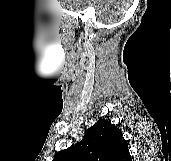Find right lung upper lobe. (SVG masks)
I'll return each instance as SVG.
<instances>
[{"mask_svg": "<svg viewBox=\"0 0 171 161\" xmlns=\"http://www.w3.org/2000/svg\"><path fill=\"white\" fill-rule=\"evenodd\" d=\"M53 161H131L120 129L100 119L86 130L83 140L58 152Z\"/></svg>", "mask_w": 171, "mask_h": 161, "instance_id": "right-lung-upper-lobe-1", "label": "right lung upper lobe"}]
</instances>
